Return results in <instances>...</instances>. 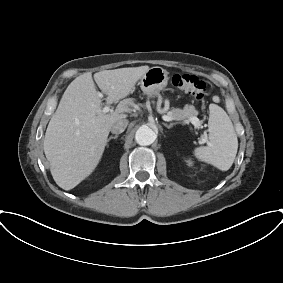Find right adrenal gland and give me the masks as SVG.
<instances>
[{"label": "right adrenal gland", "mask_w": 283, "mask_h": 283, "mask_svg": "<svg viewBox=\"0 0 283 283\" xmlns=\"http://www.w3.org/2000/svg\"><path fill=\"white\" fill-rule=\"evenodd\" d=\"M117 138H118V135L110 136V137L107 139V143H108L111 139H117Z\"/></svg>", "instance_id": "right-adrenal-gland-1"}]
</instances>
